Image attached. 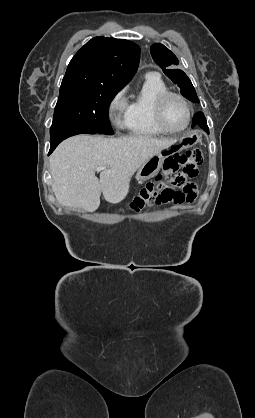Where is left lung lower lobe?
<instances>
[{"mask_svg": "<svg viewBox=\"0 0 255 418\" xmlns=\"http://www.w3.org/2000/svg\"><path fill=\"white\" fill-rule=\"evenodd\" d=\"M196 125L200 126L207 133H209L207 122H206L205 116L202 112L196 113L193 117L192 127H194Z\"/></svg>", "mask_w": 255, "mask_h": 418, "instance_id": "obj_1", "label": "left lung lower lobe"}]
</instances>
